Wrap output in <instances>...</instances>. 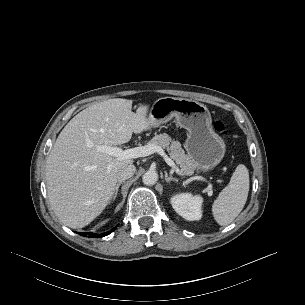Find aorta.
<instances>
[{
	"instance_id": "762f6f07",
	"label": "aorta",
	"mask_w": 305,
	"mask_h": 305,
	"mask_svg": "<svg viewBox=\"0 0 305 305\" xmlns=\"http://www.w3.org/2000/svg\"><path fill=\"white\" fill-rule=\"evenodd\" d=\"M143 183L145 185H154L158 180V174L154 170H148L142 177Z\"/></svg>"
}]
</instances>
